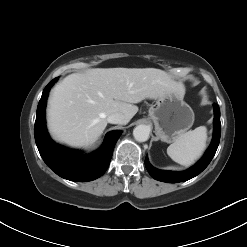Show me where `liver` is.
Returning a JSON list of instances; mask_svg holds the SVG:
<instances>
[{
	"label": "liver",
	"mask_w": 247,
	"mask_h": 247,
	"mask_svg": "<svg viewBox=\"0 0 247 247\" xmlns=\"http://www.w3.org/2000/svg\"><path fill=\"white\" fill-rule=\"evenodd\" d=\"M182 87L155 68H95L73 73L52 91L48 128L60 142L88 146L102 134L110 114L122 113L128 123L138 112L134 104Z\"/></svg>",
	"instance_id": "1"
}]
</instances>
